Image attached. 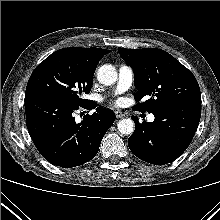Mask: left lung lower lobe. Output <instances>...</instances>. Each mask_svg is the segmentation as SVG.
Listing matches in <instances>:
<instances>
[{"mask_svg":"<svg viewBox=\"0 0 220 220\" xmlns=\"http://www.w3.org/2000/svg\"><path fill=\"white\" fill-rule=\"evenodd\" d=\"M153 114L151 123L132 117L135 131L128 146L141 160L163 165L176 160L191 143L201 117V101L162 106Z\"/></svg>","mask_w":220,"mask_h":220,"instance_id":"0a47b994","label":"left lung lower lobe"}]
</instances>
